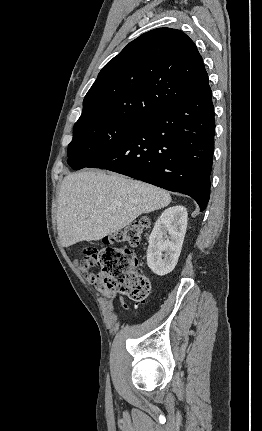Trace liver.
I'll return each mask as SVG.
<instances>
[{
    "label": "liver",
    "instance_id": "liver-1",
    "mask_svg": "<svg viewBox=\"0 0 262 431\" xmlns=\"http://www.w3.org/2000/svg\"><path fill=\"white\" fill-rule=\"evenodd\" d=\"M171 200L165 190L115 173L90 170L67 175L57 208L61 244L101 240Z\"/></svg>",
    "mask_w": 262,
    "mask_h": 431
}]
</instances>
